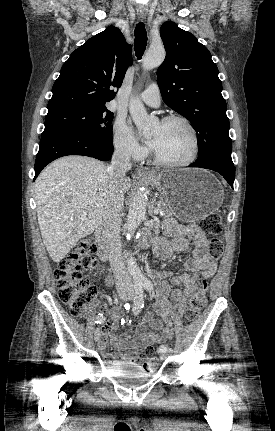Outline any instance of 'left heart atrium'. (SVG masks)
<instances>
[{"label":"left heart atrium","instance_id":"39dd6f15","mask_svg":"<svg viewBox=\"0 0 275 431\" xmlns=\"http://www.w3.org/2000/svg\"><path fill=\"white\" fill-rule=\"evenodd\" d=\"M151 145H152V146L154 145V142H153V141H151Z\"/></svg>","mask_w":275,"mask_h":431}]
</instances>
